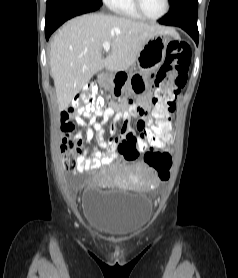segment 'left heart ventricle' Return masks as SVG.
Returning <instances> with one entry per match:
<instances>
[{
	"label": "left heart ventricle",
	"instance_id": "left-heart-ventricle-1",
	"mask_svg": "<svg viewBox=\"0 0 238 278\" xmlns=\"http://www.w3.org/2000/svg\"><path fill=\"white\" fill-rule=\"evenodd\" d=\"M144 11L151 17L160 16L165 8V0H141Z\"/></svg>",
	"mask_w": 238,
	"mask_h": 278
}]
</instances>
